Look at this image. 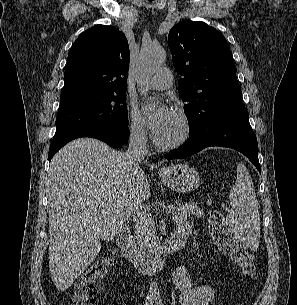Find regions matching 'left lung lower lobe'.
<instances>
[{
    "label": "left lung lower lobe",
    "instance_id": "0a47b994",
    "mask_svg": "<svg viewBox=\"0 0 297 305\" xmlns=\"http://www.w3.org/2000/svg\"><path fill=\"white\" fill-rule=\"evenodd\" d=\"M211 146L229 147L240 151L261 173L256 135L243 103L227 106L209 117L195 131H190V138L179 149L167 153L165 158H184Z\"/></svg>",
    "mask_w": 297,
    "mask_h": 305
}]
</instances>
